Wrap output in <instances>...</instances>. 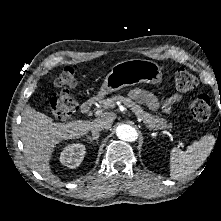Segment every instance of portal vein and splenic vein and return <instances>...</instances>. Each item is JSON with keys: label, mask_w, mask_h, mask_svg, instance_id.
Returning a JSON list of instances; mask_svg holds the SVG:
<instances>
[{"label": "portal vein and splenic vein", "mask_w": 221, "mask_h": 221, "mask_svg": "<svg viewBox=\"0 0 221 221\" xmlns=\"http://www.w3.org/2000/svg\"><path fill=\"white\" fill-rule=\"evenodd\" d=\"M102 114V110H98L96 111L95 115H101ZM163 134H168L167 131H163ZM180 147H183V144L181 142L178 143Z\"/></svg>", "instance_id": "18ae733b"}]
</instances>
